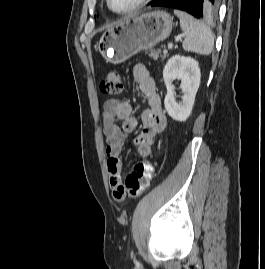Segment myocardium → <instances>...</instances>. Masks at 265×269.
<instances>
[{
    "label": "myocardium",
    "mask_w": 265,
    "mask_h": 269,
    "mask_svg": "<svg viewBox=\"0 0 265 269\" xmlns=\"http://www.w3.org/2000/svg\"><path fill=\"white\" fill-rule=\"evenodd\" d=\"M151 0H139L133 6L125 10H115L111 5V0H106L108 8L116 14H128L137 11L138 9L144 7Z\"/></svg>",
    "instance_id": "myocardium-1"
}]
</instances>
